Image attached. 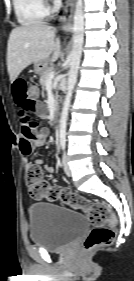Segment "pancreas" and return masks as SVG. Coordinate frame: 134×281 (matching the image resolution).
I'll return each mask as SVG.
<instances>
[{
	"instance_id": "1",
	"label": "pancreas",
	"mask_w": 134,
	"mask_h": 281,
	"mask_svg": "<svg viewBox=\"0 0 134 281\" xmlns=\"http://www.w3.org/2000/svg\"><path fill=\"white\" fill-rule=\"evenodd\" d=\"M54 68L53 66H47L41 73H40V84L42 86V88H44L47 79H48V75L50 72H53ZM56 98H57V94H56Z\"/></svg>"
}]
</instances>
